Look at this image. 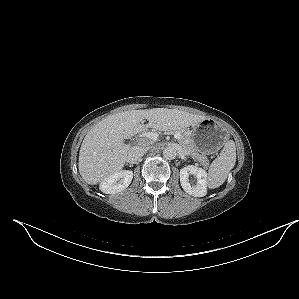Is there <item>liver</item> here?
Listing matches in <instances>:
<instances>
[{
  "label": "liver",
  "instance_id": "6515ba94",
  "mask_svg": "<svg viewBox=\"0 0 299 299\" xmlns=\"http://www.w3.org/2000/svg\"><path fill=\"white\" fill-rule=\"evenodd\" d=\"M206 117L166 108L131 110L102 119L85 136L79 152V173L96 185L120 171L127 161L129 139L150 127L160 131L179 130L196 125ZM148 121L147 126L143 124Z\"/></svg>",
  "mask_w": 299,
  "mask_h": 299
}]
</instances>
